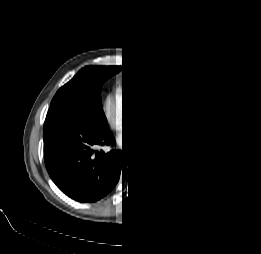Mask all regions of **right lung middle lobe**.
Returning <instances> with one entry per match:
<instances>
[{"label": "right lung middle lobe", "instance_id": "right-lung-middle-lobe-1", "mask_svg": "<svg viewBox=\"0 0 261 254\" xmlns=\"http://www.w3.org/2000/svg\"><path fill=\"white\" fill-rule=\"evenodd\" d=\"M121 67L86 66L62 86L51 101L48 113L77 115L98 129H108L102 109L101 87Z\"/></svg>", "mask_w": 261, "mask_h": 254}]
</instances>
